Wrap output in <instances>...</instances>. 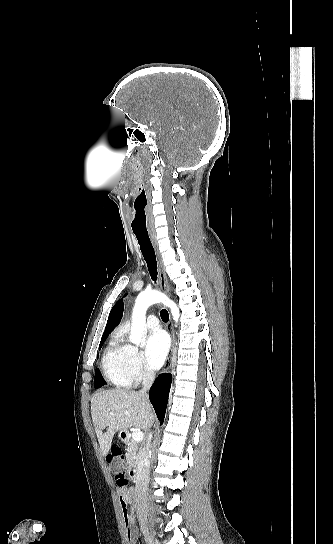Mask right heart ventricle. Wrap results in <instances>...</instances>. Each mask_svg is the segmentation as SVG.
I'll return each instance as SVG.
<instances>
[{"instance_id": "e07e8e85", "label": "right heart ventricle", "mask_w": 333, "mask_h": 544, "mask_svg": "<svg viewBox=\"0 0 333 544\" xmlns=\"http://www.w3.org/2000/svg\"><path fill=\"white\" fill-rule=\"evenodd\" d=\"M123 346L118 335L111 338L102 356V370L109 383L128 387L131 383L125 369Z\"/></svg>"}]
</instances>
